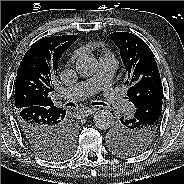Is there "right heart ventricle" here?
Wrapping results in <instances>:
<instances>
[{
    "label": "right heart ventricle",
    "instance_id": "e07e8e85",
    "mask_svg": "<svg viewBox=\"0 0 184 184\" xmlns=\"http://www.w3.org/2000/svg\"><path fill=\"white\" fill-rule=\"evenodd\" d=\"M111 55L109 51L104 52L103 56Z\"/></svg>",
    "mask_w": 184,
    "mask_h": 184
}]
</instances>
